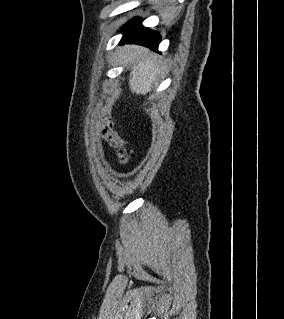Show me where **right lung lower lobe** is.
Instances as JSON below:
<instances>
[{
    "label": "right lung lower lobe",
    "instance_id": "obj_1",
    "mask_svg": "<svg viewBox=\"0 0 284 319\" xmlns=\"http://www.w3.org/2000/svg\"><path fill=\"white\" fill-rule=\"evenodd\" d=\"M123 37L120 44L134 43L149 47L157 51L161 36L158 32L149 30L141 25L140 18H134L124 26Z\"/></svg>",
    "mask_w": 284,
    "mask_h": 319
}]
</instances>
